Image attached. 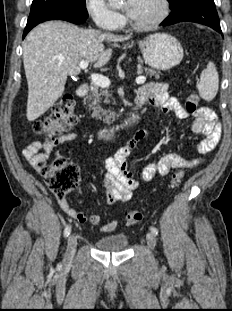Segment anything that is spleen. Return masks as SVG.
Returning <instances> with one entry per match:
<instances>
[{
    "label": "spleen",
    "mask_w": 232,
    "mask_h": 311,
    "mask_svg": "<svg viewBox=\"0 0 232 311\" xmlns=\"http://www.w3.org/2000/svg\"><path fill=\"white\" fill-rule=\"evenodd\" d=\"M219 76L216 66L213 62H209L206 69L200 75V82L197 85L199 95L206 101L215 98L218 92Z\"/></svg>",
    "instance_id": "spleen-1"
}]
</instances>
